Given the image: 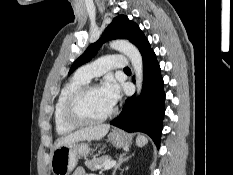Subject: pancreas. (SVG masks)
<instances>
[{
  "label": "pancreas",
  "mask_w": 233,
  "mask_h": 175,
  "mask_svg": "<svg viewBox=\"0 0 233 175\" xmlns=\"http://www.w3.org/2000/svg\"><path fill=\"white\" fill-rule=\"evenodd\" d=\"M110 160L109 156H101V157H94L91 160H86L85 161V166H87L90 170H97V169H101L102 163H106L107 161Z\"/></svg>",
  "instance_id": "1"
}]
</instances>
